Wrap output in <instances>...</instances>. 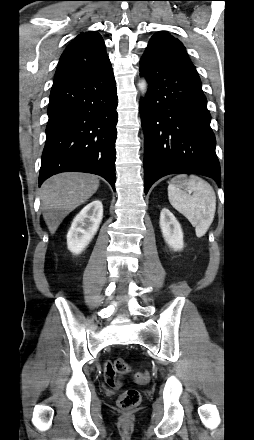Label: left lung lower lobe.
<instances>
[{"instance_id":"0a47b994","label":"left lung lower lobe","mask_w":254,"mask_h":440,"mask_svg":"<svg viewBox=\"0 0 254 440\" xmlns=\"http://www.w3.org/2000/svg\"><path fill=\"white\" fill-rule=\"evenodd\" d=\"M140 74L149 84L140 105L145 130V194L155 181L175 173L201 174L220 185L211 115L195 67L144 54Z\"/></svg>"}]
</instances>
